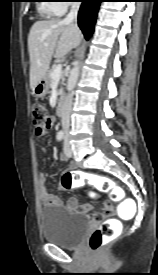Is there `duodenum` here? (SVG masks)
Masks as SVG:
<instances>
[{"instance_id": "duodenum-1", "label": "duodenum", "mask_w": 158, "mask_h": 275, "mask_svg": "<svg viewBox=\"0 0 158 275\" xmlns=\"http://www.w3.org/2000/svg\"><path fill=\"white\" fill-rule=\"evenodd\" d=\"M63 104H64V97L61 95L58 99L57 105H56V114L58 116H61L63 111Z\"/></svg>"}]
</instances>
